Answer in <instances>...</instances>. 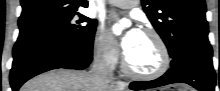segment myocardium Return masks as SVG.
<instances>
[{
    "label": "myocardium",
    "mask_w": 220,
    "mask_h": 91,
    "mask_svg": "<svg viewBox=\"0 0 220 91\" xmlns=\"http://www.w3.org/2000/svg\"><path fill=\"white\" fill-rule=\"evenodd\" d=\"M142 33L149 35L152 37L158 47L159 53H160V64L158 68L152 72H137L130 68L126 56L123 55L122 57V68L123 72L134 79L138 80H154L161 76H163L169 69L171 64V58L169 49L167 47L166 42L164 41L163 37L154 29L152 28H144L142 30Z\"/></svg>",
    "instance_id": "f54148a6"
}]
</instances>
